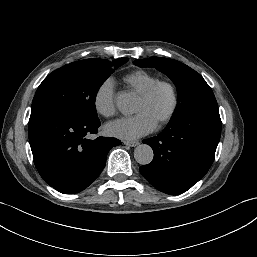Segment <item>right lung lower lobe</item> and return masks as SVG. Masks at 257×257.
Returning a JSON list of instances; mask_svg holds the SVG:
<instances>
[{"instance_id": "obj_1", "label": "right lung lower lobe", "mask_w": 257, "mask_h": 257, "mask_svg": "<svg viewBox=\"0 0 257 257\" xmlns=\"http://www.w3.org/2000/svg\"><path fill=\"white\" fill-rule=\"evenodd\" d=\"M29 142L35 166L47 184L64 194L88 187L103 170L108 151L121 142L98 137L100 120L73 119L55 113H34L29 119Z\"/></svg>"}]
</instances>
